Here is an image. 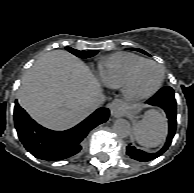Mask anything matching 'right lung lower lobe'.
<instances>
[{
    "instance_id": "obj_1",
    "label": "right lung lower lobe",
    "mask_w": 194,
    "mask_h": 193,
    "mask_svg": "<svg viewBox=\"0 0 194 193\" xmlns=\"http://www.w3.org/2000/svg\"><path fill=\"white\" fill-rule=\"evenodd\" d=\"M109 110L99 108L80 124L66 131H51L37 124L15 102L14 120L18 137L34 157L55 161L77 154L81 142L93 128L107 121Z\"/></svg>"
}]
</instances>
